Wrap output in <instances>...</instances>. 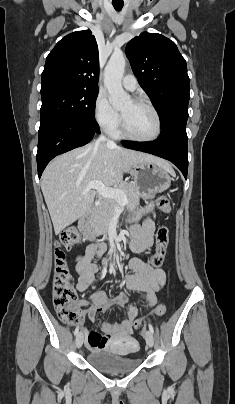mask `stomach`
<instances>
[{
    "mask_svg": "<svg viewBox=\"0 0 235 404\" xmlns=\"http://www.w3.org/2000/svg\"><path fill=\"white\" fill-rule=\"evenodd\" d=\"M134 184L143 199H152L156 194L166 191L171 185V177L165 169L154 161H144L132 168ZM153 205L146 204L144 208L133 211L132 219L139 220L145 213L152 211Z\"/></svg>",
    "mask_w": 235,
    "mask_h": 404,
    "instance_id": "obj_1",
    "label": "stomach"
}]
</instances>
